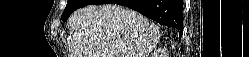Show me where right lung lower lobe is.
Instances as JSON below:
<instances>
[{
    "mask_svg": "<svg viewBox=\"0 0 249 57\" xmlns=\"http://www.w3.org/2000/svg\"><path fill=\"white\" fill-rule=\"evenodd\" d=\"M116 3L134 9L162 25L183 30L182 0H92L90 4Z\"/></svg>",
    "mask_w": 249,
    "mask_h": 57,
    "instance_id": "right-lung-lower-lobe-1",
    "label": "right lung lower lobe"
}]
</instances>
